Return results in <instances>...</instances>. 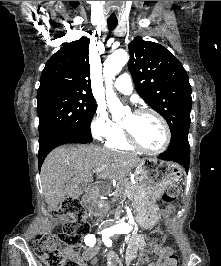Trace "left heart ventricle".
I'll use <instances>...</instances> for the list:
<instances>
[{
    "instance_id": "b2bd125f",
    "label": "left heart ventricle",
    "mask_w": 221,
    "mask_h": 266,
    "mask_svg": "<svg viewBox=\"0 0 221 266\" xmlns=\"http://www.w3.org/2000/svg\"><path fill=\"white\" fill-rule=\"evenodd\" d=\"M122 125L129 128L145 148L156 149L164 141V129L160 121L152 114L135 115L130 113Z\"/></svg>"
}]
</instances>
